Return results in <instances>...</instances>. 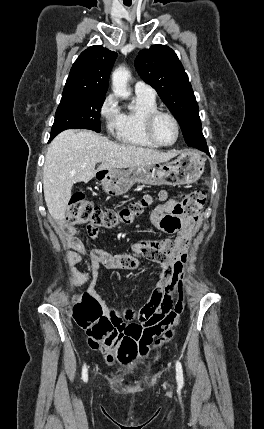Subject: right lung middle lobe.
<instances>
[{"label": "right lung middle lobe", "instance_id": "obj_1", "mask_svg": "<svg viewBox=\"0 0 264 429\" xmlns=\"http://www.w3.org/2000/svg\"><path fill=\"white\" fill-rule=\"evenodd\" d=\"M104 99V95L63 94L56 111L50 140L69 128L100 132V110Z\"/></svg>", "mask_w": 264, "mask_h": 429}]
</instances>
